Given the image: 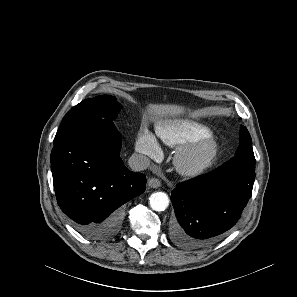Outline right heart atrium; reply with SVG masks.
I'll return each mask as SVG.
<instances>
[{"mask_svg":"<svg viewBox=\"0 0 297 297\" xmlns=\"http://www.w3.org/2000/svg\"><path fill=\"white\" fill-rule=\"evenodd\" d=\"M137 151L146 158H158L160 148L155 137L147 130L139 133L136 141Z\"/></svg>","mask_w":297,"mask_h":297,"instance_id":"obj_1","label":"right heart atrium"}]
</instances>
